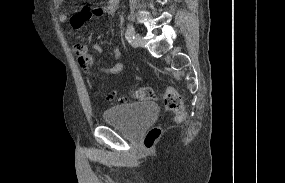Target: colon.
Instances as JSON below:
<instances>
[{"mask_svg": "<svg viewBox=\"0 0 285 183\" xmlns=\"http://www.w3.org/2000/svg\"><path fill=\"white\" fill-rule=\"evenodd\" d=\"M155 97L154 90L150 87H140L130 90L127 95L121 97L122 100H138L147 101ZM164 106L168 111L175 113L176 121L182 122L186 118V111L182 104L181 95L173 87H168L163 97ZM161 129L154 127L148 131L144 138V145L147 148H152L156 140L160 136Z\"/></svg>", "mask_w": 285, "mask_h": 183, "instance_id": "obj_1", "label": "colon"}]
</instances>
